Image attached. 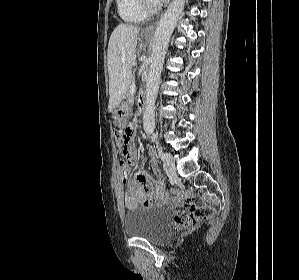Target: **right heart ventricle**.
<instances>
[{
	"label": "right heart ventricle",
	"instance_id": "e07e8e85",
	"mask_svg": "<svg viewBox=\"0 0 299 280\" xmlns=\"http://www.w3.org/2000/svg\"><path fill=\"white\" fill-rule=\"evenodd\" d=\"M120 18L126 23H142L147 14L141 9L138 0H116Z\"/></svg>",
	"mask_w": 299,
	"mask_h": 280
}]
</instances>
